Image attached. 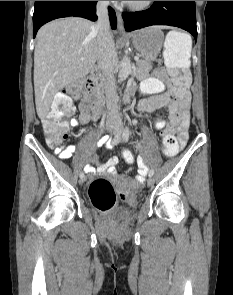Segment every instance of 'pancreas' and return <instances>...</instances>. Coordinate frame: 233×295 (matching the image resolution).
<instances>
[{"label":"pancreas","instance_id":"obj_1","mask_svg":"<svg viewBox=\"0 0 233 295\" xmlns=\"http://www.w3.org/2000/svg\"><path fill=\"white\" fill-rule=\"evenodd\" d=\"M152 70V64L149 62H146L144 60H138L137 61V73L136 78L139 80H142L144 78H147L149 76V72ZM102 81L98 84L96 83V90L101 91L102 88Z\"/></svg>","mask_w":233,"mask_h":295}]
</instances>
